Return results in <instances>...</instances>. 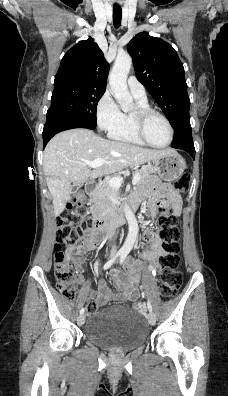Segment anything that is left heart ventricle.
Listing matches in <instances>:
<instances>
[{
  "mask_svg": "<svg viewBox=\"0 0 228 396\" xmlns=\"http://www.w3.org/2000/svg\"><path fill=\"white\" fill-rule=\"evenodd\" d=\"M148 140L158 146L165 145L169 140V130L162 118L157 115L150 116L145 125Z\"/></svg>",
  "mask_w": 228,
  "mask_h": 396,
  "instance_id": "obj_1",
  "label": "left heart ventricle"
}]
</instances>
